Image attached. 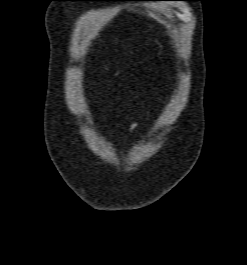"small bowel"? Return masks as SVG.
I'll return each instance as SVG.
<instances>
[{
  "label": "small bowel",
  "instance_id": "small-bowel-1",
  "mask_svg": "<svg viewBox=\"0 0 247 265\" xmlns=\"http://www.w3.org/2000/svg\"><path fill=\"white\" fill-rule=\"evenodd\" d=\"M139 126H140V121H139V120H135V121L131 124V127H130L129 132H130L131 134L136 133L137 130L139 129Z\"/></svg>",
  "mask_w": 247,
  "mask_h": 265
}]
</instances>
